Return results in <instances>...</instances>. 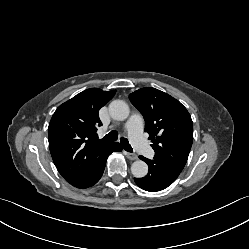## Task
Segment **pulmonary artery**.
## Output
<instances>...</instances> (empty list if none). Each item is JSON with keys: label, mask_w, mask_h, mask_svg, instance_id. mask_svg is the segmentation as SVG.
Segmentation results:
<instances>
[{"label": "pulmonary artery", "mask_w": 249, "mask_h": 249, "mask_svg": "<svg viewBox=\"0 0 249 249\" xmlns=\"http://www.w3.org/2000/svg\"><path fill=\"white\" fill-rule=\"evenodd\" d=\"M125 129L134 148L143 155L152 157L154 151L143 134L142 116L137 113L132 114L125 125Z\"/></svg>", "instance_id": "1"}]
</instances>
